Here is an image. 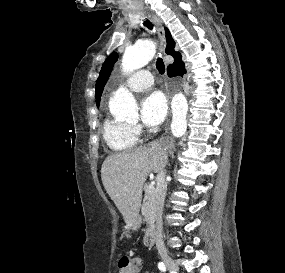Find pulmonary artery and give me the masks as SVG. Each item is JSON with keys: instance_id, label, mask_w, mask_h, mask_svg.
I'll return each instance as SVG.
<instances>
[{"instance_id": "e3ab8cb5", "label": "pulmonary artery", "mask_w": 285, "mask_h": 273, "mask_svg": "<svg viewBox=\"0 0 285 273\" xmlns=\"http://www.w3.org/2000/svg\"><path fill=\"white\" fill-rule=\"evenodd\" d=\"M125 83L131 90L139 91L151 87L154 79L150 71L142 69L132 74Z\"/></svg>"}]
</instances>
